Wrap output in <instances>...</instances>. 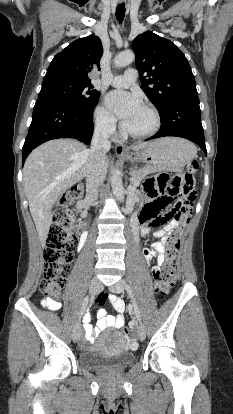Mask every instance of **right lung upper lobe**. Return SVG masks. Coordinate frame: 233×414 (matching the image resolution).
<instances>
[{"label":"right lung upper lobe","mask_w":233,"mask_h":414,"mask_svg":"<svg viewBox=\"0 0 233 414\" xmlns=\"http://www.w3.org/2000/svg\"><path fill=\"white\" fill-rule=\"evenodd\" d=\"M103 47L99 37L80 38L58 53L50 63L46 76H62L90 83L87 73L94 65L99 67Z\"/></svg>","instance_id":"right-lung-upper-lobe-1"}]
</instances>
